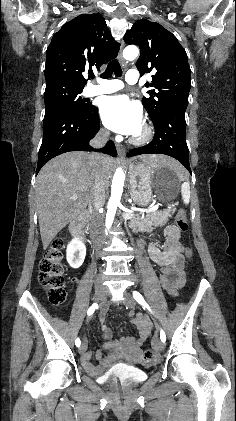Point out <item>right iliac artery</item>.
Returning <instances> with one entry per match:
<instances>
[{"instance_id":"obj_1","label":"right iliac artery","mask_w":236,"mask_h":421,"mask_svg":"<svg viewBox=\"0 0 236 421\" xmlns=\"http://www.w3.org/2000/svg\"><path fill=\"white\" fill-rule=\"evenodd\" d=\"M97 307H98V304L97 303H94L89 309H88V311H87V314L88 315H92L93 313H94V311H95V309H97ZM80 344H81V341H80V339L79 338H77L76 340H75V345L77 346V347H79L80 346Z\"/></svg>"}]
</instances>
